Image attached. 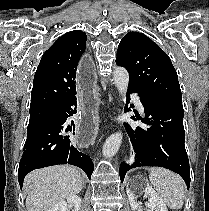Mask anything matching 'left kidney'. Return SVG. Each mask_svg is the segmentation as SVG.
<instances>
[{"label": "left kidney", "mask_w": 209, "mask_h": 211, "mask_svg": "<svg viewBox=\"0 0 209 211\" xmlns=\"http://www.w3.org/2000/svg\"><path fill=\"white\" fill-rule=\"evenodd\" d=\"M140 189H142L145 197L148 198V202L146 203L149 208L148 211H168L165 203L155 190L148 183L143 181H133L126 188L129 203L133 211H140V203L137 201V191Z\"/></svg>", "instance_id": "1"}]
</instances>
